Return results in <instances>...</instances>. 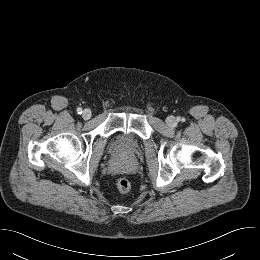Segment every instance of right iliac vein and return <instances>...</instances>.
I'll list each match as a JSON object with an SVG mask.
<instances>
[{"label":"right iliac vein","mask_w":260,"mask_h":260,"mask_svg":"<svg viewBox=\"0 0 260 260\" xmlns=\"http://www.w3.org/2000/svg\"><path fill=\"white\" fill-rule=\"evenodd\" d=\"M91 115H92V113H91V110H89V109H85V110H83V112H82V117H83V119H85V120L90 119V118H91Z\"/></svg>","instance_id":"obj_1"}]
</instances>
